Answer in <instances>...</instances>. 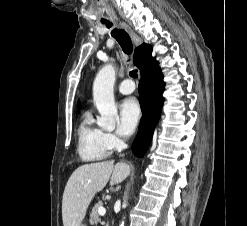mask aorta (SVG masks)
Returning a JSON list of instances; mask_svg holds the SVG:
<instances>
[{
	"label": "aorta",
	"instance_id": "1",
	"mask_svg": "<svg viewBox=\"0 0 247 226\" xmlns=\"http://www.w3.org/2000/svg\"><path fill=\"white\" fill-rule=\"evenodd\" d=\"M116 72L112 65H105L96 75L93 83V100L101 115L98 125L102 128L112 129L117 118L113 86ZM124 226V222L120 224Z\"/></svg>",
	"mask_w": 247,
	"mask_h": 226
}]
</instances>
